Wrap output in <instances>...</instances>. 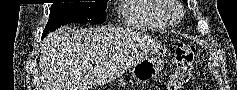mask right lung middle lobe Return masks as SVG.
<instances>
[{
	"instance_id": "dd1d6c3e",
	"label": "right lung middle lobe",
	"mask_w": 237,
	"mask_h": 90,
	"mask_svg": "<svg viewBox=\"0 0 237 90\" xmlns=\"http://www.w3.org/2000/svg\"><path fill=\"white\" fill-rule=\"evenodd\" d=\"M107 0L95 2L52 4L49 20L43 31L42 39L60 26L69 23L101 24L106 20L104 12Z\"/></svg>"
}]
</instances>
